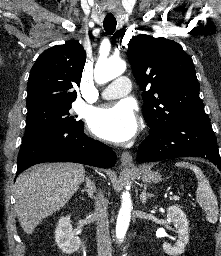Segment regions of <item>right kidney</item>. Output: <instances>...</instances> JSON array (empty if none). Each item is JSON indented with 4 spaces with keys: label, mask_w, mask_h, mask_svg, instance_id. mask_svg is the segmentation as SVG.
<instances>
[{
    "label": "right kidney",
    "mask_w": 221,
    "mask_h": 256,
    "mask_svg": "<svg viewBox=\"0 0 221 256\" xmlns=\"http://www.w3.org/2000/svg\"><path fill=\"white\" fill-rule=\"evenodd\" d=\"M55 242L63 253L72 254L79 250L81 242L73 231L70 216L59 219L55 229Z\"/></svg>",
    "instance_id": "ca27d5eb"
}]
</instances>
